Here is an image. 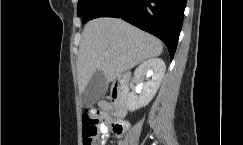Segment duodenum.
<instances>
[{"label": "duodenum", "mask_w": 243, "mask_h": 145, "mask_svg": "<svg viewBox=\"0 0 243 145\" xmlns=\"http://www.w3.org/2000/svg\"><path fill=\"white\" fill-rule=\"evenodd\" d=\"M130 75H119L111 89V101L113 113L117 117H124L127 113V97L129 94Z\"/></svg>", "instance_id": "1"}]
</instances>
